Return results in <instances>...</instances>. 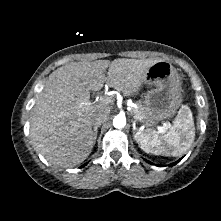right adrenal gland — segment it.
Segmentation results:
<instances>
[{"label": "right adrenal gland", "mask_w": 221, "mask_h": 221, "mask_svg": "<svg viewBox=\"0 0 221 221\" xmlns=\"http://www.w3.org/2000/svg\"><path fill=\"white\" fill-rule=\"evenodd\" d=\"M99 127H100V125L94 126V143L96 142V138H97V133H98V128Z\"/></svg>", "instance_id": "1"}]
</instances>
